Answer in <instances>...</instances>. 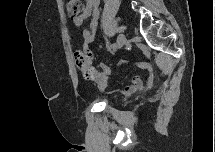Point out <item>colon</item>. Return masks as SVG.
<instances>
[{"mask_svg":"<svg viewBox=\"0 0 215 152\" xmlns=\"http://www.w3.org/2000/svg\"><path fill=\"white\" fill-rule=\"evenodd\" d=\"M66 9L70 16H78L82 11V3L78 0H68L66 2ZM91 61L92 53L89 50H83L76 53V64L86 78H90L95 74V70L91 66Z\"/></svg>","mask_w":215,"mask_h":152,"instance_id":"colon-1","label":"colon"}]
</instances>
